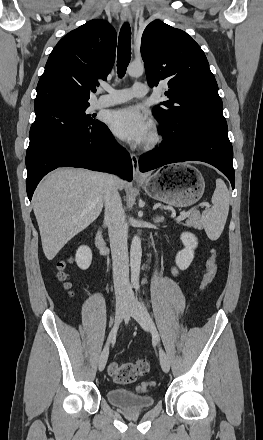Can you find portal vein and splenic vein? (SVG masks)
I'll use <instances>...</instances> for the list:
<instances>
[{
	"instance_id": "18ae733b",
	"label": "portal vein and splenic vein",
	"mask_w": 263,
	"mask_h": 440,
	"mask_svg": "<svg viewBox=\"0 0 263 440\" xmlns=\"http://www.w3.org/2000/svg\"><path fill=\"white\" fill-rule=\"evenodd\" d=\"M199 206H206V207H210L209 203H202L199 204ZM196 207H193L191 210L186 211V212H182L177 218L176 221H182L184 220L186 217H188V215L195 209Z\"/></svg>"
}]
</instances>
